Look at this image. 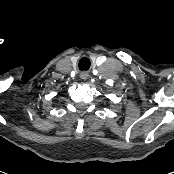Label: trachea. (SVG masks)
<instances>
[{"mask_svg": "<svg viewBox=\"0 0 174 174\" xmlns=\"http://www.w3.org/2000/svg\"><path fill=\"white\" fill-rule=\"evenodd\" d=\"M90 67V60L86 57H83L79 61V69L80 70H88Z\"/></svg>", "mask_w": 174, "mask_h": 174, "instance_id": "3493384b", "label": "trachea"}]
</instances>
